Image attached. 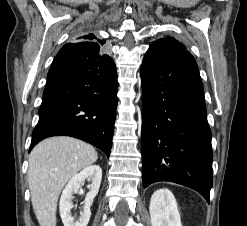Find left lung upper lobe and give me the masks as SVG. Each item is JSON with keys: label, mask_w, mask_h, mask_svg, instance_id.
Segmentation results:
<instances>
[{"label": "left lung upper lobe", "mask_w": 247, "mask_h": 226, "mask_svg": "<svg viewBox=\"0 0 247 226\" xmlns=\"http://www.w3.org/2000/svg\"><path fill=\"white\" fill-rule=\"evenodd\" d=\"M150 47H168V48H173V49L186 50V48L183 44H181L179 41H177L171 37L159 39L155 43L151 44Z\"/></svg>", "instance_id": "1"}]
</instances>
